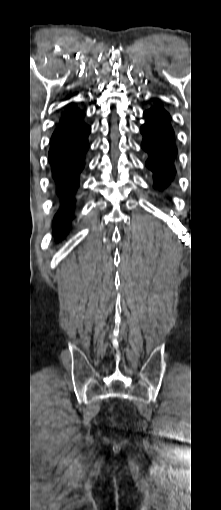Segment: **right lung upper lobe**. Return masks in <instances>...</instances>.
<instances>
[{
	"mask_svg": "<svg viewBox=\"0 0 221 510\" xmlns=\"http://www.w3.org/2000/svg\"><path fill=\"white\" fill-rule=\"evenodd\" d=\"M84 113L74 105H70L61 118L54 133H64L83 122Z\"/></svg>",
	"mask_w": 221,
	"mask_h": 510,
	"instance_id": "right-lung-upper-lobe-1",
	"label": "right lung upper lobe"
}]
</instances>
